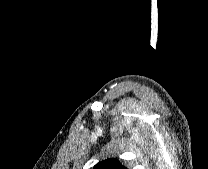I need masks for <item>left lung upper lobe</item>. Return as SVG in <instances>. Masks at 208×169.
<instances>
[{"instance_id": "1", "label": "left lung upper lobe", "mask_w": 208, "mask_h": 169, "mask_svg": "<svg viewBox=\"0 0 208 169\" xmlns=\"http://www.w3.org/2000/svg\"><path fill=\"white\" fill-rule=\"evenodd\" d=\"M93 169H127V168L121 165L118 159L110 158L99 162L94 166Z\"/></svg>"}]
</instances>
